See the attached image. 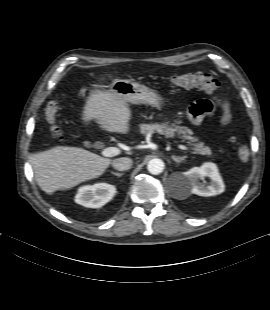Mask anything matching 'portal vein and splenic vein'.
I'll return each mask as SVG.
<instances>
[{"mask_svg":"<svg viewBox=\"0 0 270 310\" xmlns=\"http://www.w3.org/2000/svg\"><path fill=\"white\" fill-rule=\"evenodd\" d=\"M178 147L182 150H188V147H186L185 145H179ZM101 154L104 157H113V156L120 154V150L117 147H108V148L103 149Z\"/></svg>","mask_w":270,"mask_h":310,"instance_id":"obj_1","label":"portal vein and splenic vein"}]
</instances>
